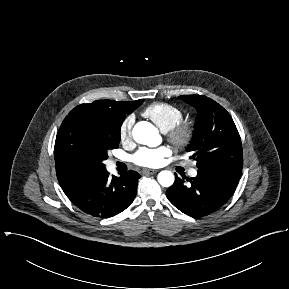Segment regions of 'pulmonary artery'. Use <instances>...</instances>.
Returning <instances> with one entry per match:
<instances>
[{
	"label": "pulmonary artery",
	"mask_w": 289,
	"mask_h": 289,
	"mask_svg": "<svg viewBox=\"0 0 289 289\" xmlns=\"http://www.w3.org/2000/svg\"><path fill=\"white\" fill-rule=\"evenodd\" d=\"M188 174L191 176V177H195L197 175V170L196 168H191L188 172Z\"/></svg>",
	"instance_id": "obj_1"
}]
</instances>
